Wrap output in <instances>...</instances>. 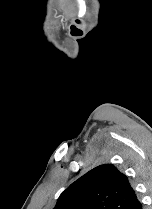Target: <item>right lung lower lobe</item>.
I'll list each match as a JSON object with an SVG mask.
<instances>
[{"mask_svg":"<svg viewBox=\"0 0 152 209\" xmlns=\"http://www.w3.org/2000/svg\"><path fill=\"white\" fill-rule=\"evenodd\" d=\"M129 209H142L141 202L137 199H135L134 203L129 207Z\"/></svg>","mask_w":152,"mask_h":209,"instance_id":"1","label":"right lung lower lobe"}]
</instances>
